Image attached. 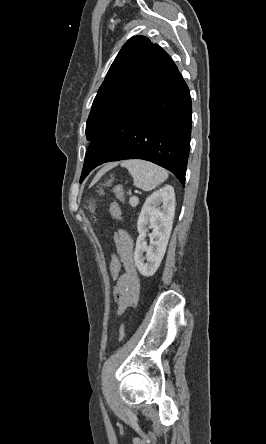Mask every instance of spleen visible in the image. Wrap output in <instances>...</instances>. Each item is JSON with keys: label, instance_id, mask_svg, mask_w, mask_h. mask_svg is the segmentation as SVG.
I'll return each instance as SVG.
<instances>
[{"label": "spleen", "instance_id": "1", "mask_svg": "<svg viewBox=\"0 0 266 444\" xmlns=\"http://www.w3.org/2000/svg\"><path fill=\"white\" fill-rule=\"evenodd\" d=\"M133 177L134 185L144 191H151L168 178V172L144 160H126L121 163Z\"/></svg>", "mask_w": 266, "mask_h": 444}]
</instances>
